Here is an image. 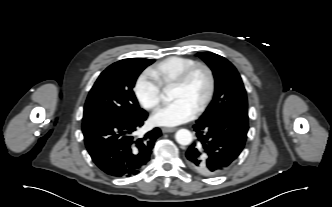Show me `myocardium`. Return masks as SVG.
<instances>
[{
    "label": "myocardium",
    "instance_id": "obj_1",
    "mask_svg": "<svg viewBox=\"0 0 332 207\" xmlns=\"http://www.w3.org/2000/svg\"><path fill=\"white\" fill-rule=\"evenodd\" d=\"M198 70L205 71L208 77V88L205 96L203 97L202 101L196 108L197 114L203 112L207 108L215 92L216 79L212 68L206 63L196 62L195 64L188 67L185 71H183L177 77V79L172 83V87H184L191 79V77L194 75V73Z\"/></svg>",
    "mask_w": 332,
    "mask_h": 207
}]
</instances>
